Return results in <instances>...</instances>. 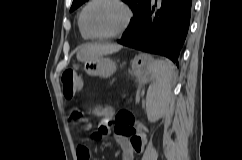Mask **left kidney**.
Here are the masks:
<instances>
[{
    "label": "left kidney",
    "mask_w": 242,
    "mask_h": 160,
    "mask_svg": "<svg viewBox=\"0 0 242 160\" xmlns=\"http://www.w3.org/2000/svg\"><path fill=\"white\" fill-rule=\"evenodd\" d=\"M146 112L149 122L155 123L158 121L166 112V107L156 108L151 103L146 104Z\"/></svg>",
    "instance_id": "obj_1"
}]
</instances>
